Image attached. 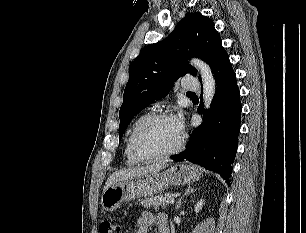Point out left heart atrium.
<instances>
[{
  "label": "left heart atrium",
  "instance_id": "obj_1",
  "mask_svg": "<svg viewBox=\"0 0 306 233\" xmlns=\"http://www.w3.org/2000/svg\"><path fill=\"white\" fill-rule=\"evenodd\" d=\"M173 123L178 131V133L181 135L184 130V118L181 113H178L172 117Z\"/></svg>",
  "mask_w": 306,
  "mask_h": 233
}]
</instances>
